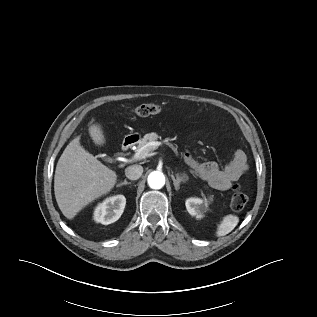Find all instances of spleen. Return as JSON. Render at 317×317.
<instances>
[{
  "instance_id": "3e777b00",
  "label": "spleen",
  "mask_w": 317,
  "mask_h": 317,
  "mask_svg": "<svg viewBox=\"0 0 317 317\" xmlns=\"http://www.w3.org/2000/svg\"><path fill=\"white\" fill-rule=\"evenodd\" d=\"M239 218L236 215L228 214L223 217L217 226L216 235L223 237L229 234L238 225Z\"/></svg>"
}]
</instances>
